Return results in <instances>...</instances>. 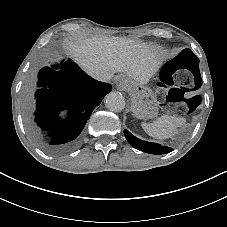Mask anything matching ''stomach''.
<instances>
[{
  "label": "stomach",
  "instance_id": "1",
  "mask_svg": "<svg viewBox=\"0 0 227 227\" xmlns=\"http://www.w3.org/2000/svg\"><path fill=\"white\" fill-rule=\"evenodd\" d=\"M124 91L132 96V107L135 116L139 118H152L157 115L158 103L153 90L135 81L120 79Z\"/></svg>",
  "mask_w": 227,
  "mask_h": 227
}]
</instances>
